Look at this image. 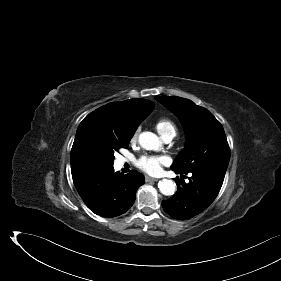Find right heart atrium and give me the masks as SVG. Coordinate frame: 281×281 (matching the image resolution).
<instances>
[{
  "instance_id": "1",
  "label": "right heart atrium",
  "mask_w": 281,
  "mask_h": 281,
  "mask_svg": "<svg viewBox=\"0 0 281 281\" xmlns=\"http://www.w3.org/2000/svg\"><path fill=\"white\" fill-rule=\"evenodd\" d=\"M137 134H138V131H136V132H135V134L133 135V137H132V141H135V140H136V138H137Z\"/></svg>"
}]
</instances>
